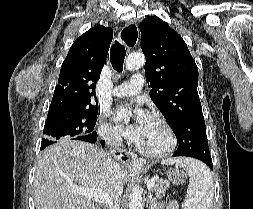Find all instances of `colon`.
Masks as SVG:
<instances>
[{"instance_id":"colon-1","label":"colon","mask_w":253,"mask_h":209,"mask_svg":"<svg viewBox=\"0 0 253 209\" xmlns=\"http://www.w3.org/2000/svg\"><path fill=\"white\" fill-rule=\"evenodd\" d=\"M169 177L173 183L179 184L184 181L185 174L181 171H173L170 173Z\"/></svg>"}]
</instances>
